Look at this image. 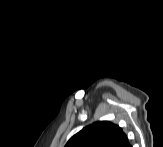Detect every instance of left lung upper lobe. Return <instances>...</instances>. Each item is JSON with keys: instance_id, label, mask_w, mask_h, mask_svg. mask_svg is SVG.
Returning a JSON list of instances; mask_svg holds the SVG:
<instances>
[{"instance_id": "1", "label": "left lung upper lobe", "mask_w": 163, "mask_h": 147, "mask_svg": "<svg viewBox=\"0 0 163 147\" xmlns=\"http://www.w3.org/2000/svg\"><path fill=\"white\" fill-rule=\"evenodd\" d=\"M123 134L118 125L97 121L71 137L65 147H116Z\"/></svg>"}]
</instances>
